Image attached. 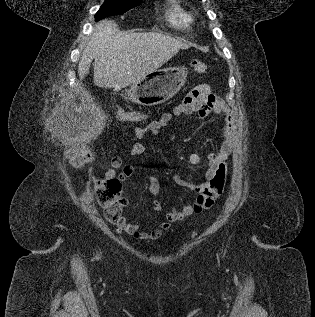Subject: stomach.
<instances>
[{
    "instance_id": "1",
    "label": "stomach",
    "mask_w": 315,
    "mask_h": 317,
    "mask_svg": "<svg viewBox=\"0 0 315 317\" xmlns=\"http://www.w3.org/2000/svg\"><path fill=\"white\" fill-rule=\"evenodd\" d=\"M185 67L157 69L133 85L131 98L144 106L164 103L176 95L186 82Z\"/></svg>"
}]
</instances>
